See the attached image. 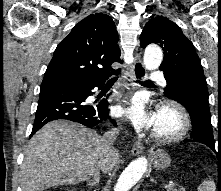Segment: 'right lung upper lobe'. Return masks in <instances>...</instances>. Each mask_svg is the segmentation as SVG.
<instances>
[{
	"label": "right lung upper lobe",
	"mask_w": 221,
	"mask_h": 191,
	"mask_svg": "<svg viewBox=\"0 0 221 191\" xmlns=\"http://www.w3.org/2000/svg\"><path fill=\"white\" fill-rule=\"evenodd\" d=\"M118 33L106 14H91L80 21L54 51L41 87L93 85L102 82L121 62Z\"/></svg>",
	"instance_id": "right-lung-upper-lobe-1"
}]
</instances>
